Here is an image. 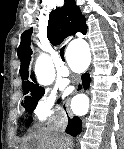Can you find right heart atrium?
I'll list each match as a JSON object with an SVG mask.
<instances>
[{"label": "right heart atrium", "mask_w": 124, "mask_h": 149, "mask_svg": "<svg viewBox=\"0 0 124 149\" xmlns=\"http://www.w3.org/2000/svg\"><path fill=\"white\" fill-rule=\"evenodd\" d=\"M61 113L53 96L44 95L36 103L33 110L34 120L38 123L48 121L54 114Z\"/></svg>", "instance_id": "right-heart-atrium-1"}]
</instances>
